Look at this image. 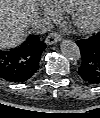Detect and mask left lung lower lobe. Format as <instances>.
Returning a JSON list of instances; mask_svg holds the SVG:
<instances>
[{"label": "left lung lower lobe", "instance_id": "0a47b994", "mask_svg": "<svg viewBox=\"0 0 100 118\" xmlns=\"http://www.w3.org/2000/svg\"><path fill=\"white\" fill-rule=\"evenodd\" d=\"M76 44L82 56L78 74L88 84H100V32L88 39L78 40Z\"/></svg>", "mask_w": 100, "mask_h": 118}]
</instances>
